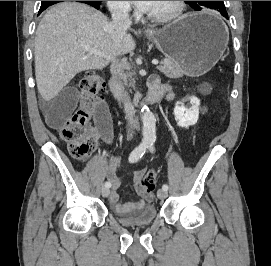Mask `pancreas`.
Masks as SVG:
<instances>
[{
    "label": "pancreas",
    "instance_id": "obj_1",
    "mask_svg": "<svg viewBox=\"0 0 271 266\" xmlns=\"http://www.w3.org/2000/svg\"><path fill=\"white\" fill-rule=\"evenodd\" d=\"M157 69L169 78H178L184 74L179 63L171 59L162 60Z\"/></svg>",
    "mask_w": 271,
    "mask_h": 266
}]
</instances>
